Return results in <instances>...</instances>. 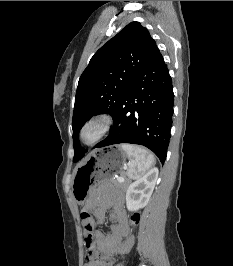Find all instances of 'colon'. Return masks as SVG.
<instances>
[{
	"label": "colon",
	"instance_id": "colon-1",
	"mask_svg": "<svg viewBox=\"0 0 233 266\" xmlns=\"http://www.w3.org/2000/svg\"><path fill=\"white\" fill-rule=\"evenodd\" d=\"M80 217H81V221L85 225V227L86 228H90V226H91V215L88 212L83 211L81 213ZM138 221H139V218H138L137 215L131 216V218H130L131 224H133V225L137 224Z\"/></svg>",
	"mask_w": 233,
	"mask_h": 266
}]
</instances>
